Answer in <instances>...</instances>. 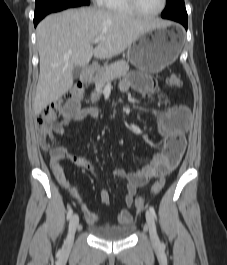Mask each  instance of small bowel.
<instances>
[{
  "label": "small bowel",
  "mask_w": 227,
  "mask_h": 265,
  "mask_svg": "<svg viewBox=\"0 0 227 265\" xmlns=\"http://www.w3.org/2000/svg\"><path fill=\"white\" fill-rule=\"evenodd\" d=\"M119 89L126 92L133 89L148 100L152 99V94L156 89V82L148 76L147 72H127L126 77L120 82ZM86 107L82 104V99L77 96H68L65 102H62L61 113H65L64 118L52 127L55 135L63 136L65 129L72 123L81 121L85 118H94L99 111L95 107ZM189 123V111L185 106H172L161 112L157 119L158 133L163 140V148L157 153L147 164L141 168L126 172L121 168H115L112 174L116 178L125 179L126 187L124 194V203L127 207H132L135 202L137 189L144 186L158 175L166 173L173 168L168 163L169 155H177L179 158L184 150L185 141L183 132ZM50 168L57 182L68 191V193L80 205L81 210L89 224H95L98 221V215L85 206L76 190L67 180L63 169L60 165L62 160H69L82 168H91V162L87 157H78L71 154L65 145L56 146L49 149ZM100 200L108 205L110 203V195L106 190L100 192ZM120 224H127L132 221V214L126 208L122 209L118 214Z\"/></svg>",
  "instance_id": "obj_1"
}]
</instances>
